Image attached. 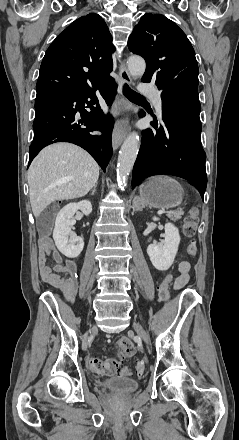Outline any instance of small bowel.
<instances>
[{
  "label": "small bowel",
  "mask_w": 239,
  "mask_h": 440,
  "mask_svg": "<svg viewBox=\"0 0 239 440\" xmlns=\"http://www.w3.org/2000/svg\"><path fill=\"white\" fill-rule=\"evenodd\" d=\"M52 256L54 266L48 264V257ZM40 273L43 281L60 290L66 300L73 301L77 292V265L71 259L63 261L62 255L50 242L40 247ZM179 275L174 282L176 289L182 288L190 278V264L182 261L178 266Z\"/></svg>",
  "instance_id": "obj_1"
}]
</instances>
